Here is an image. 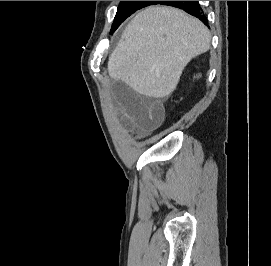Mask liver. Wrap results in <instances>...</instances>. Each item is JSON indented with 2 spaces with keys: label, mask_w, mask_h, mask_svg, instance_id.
Instances as JSON below:
<instances>
[{
  "label": "liver",
  "mask_w": 271,
  "mask_h": 266,
  "mask_svg": "<svg viewBox=\"0 0 271 266\" xmlns=\"http://www.w3.org/2000/svg\"><path fill=\"white\" fill-rule=\"evenodd\" d=\"M211 35L197 18L179 9L155 6L126 26L108 61V73L139 94L168 97L185 66L209 50Z\"/></svg>",
  "instance_id": "6515ba94"
}]
</instances>
